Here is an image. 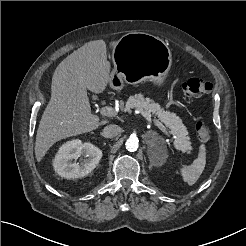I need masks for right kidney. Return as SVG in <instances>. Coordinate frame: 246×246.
<instances>
[{
	"mask_svg": "<svg viewBox=\"0 0 246 246\" xmlns=\"http://www.w3.org/2000/svg\"><path fill=\"white\" fill-rule=\"evenodd\" d=\"M79 162H72L77 160ZM102 158V151L91 143L75 139L64 143L55 156L53 166L61 177L72 179L88 175Z\"/></svg>",
	"mask_w": 246,
	"mask_h": 246,
	"instance_id": "right-kidney-1",
	"label": "right kidney"
}]
</instances>
